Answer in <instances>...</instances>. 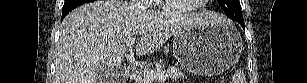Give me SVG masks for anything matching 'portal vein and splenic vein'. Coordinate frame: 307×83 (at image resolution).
I'll return each mask as SVG.
<instances>
[{"mask_svg":"<svg viewBox=\"0 0 307 83\" xmlns=\"http://www.w3.org/2000/svg\"><path fill=\"white\" fill-rule=\"evenodd\" d=\"M133 44H134L133 40L128 41L127 42L128 48H131ZM156 78L162 79V78H165V76L163 74L155 73L154 71L146 69V68L143 70V79H144V81L151 83Z\"/></svg>","mask_w":307,"mask_h":83,"instance_id":"18ae733b","label":"portal vein and splenic vein"}]
</instances>
